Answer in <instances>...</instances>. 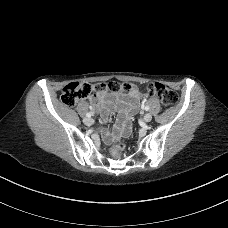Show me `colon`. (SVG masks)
<instances>
[{
  "label": "colon",
  "mask_w": 228,
  "mask_h": 228,
  "mask_svg": "<svg viewBox=\"0 0 228 228\" xmlns=\"http://www.w3.org/2000/svg\"><path fill=\"white\" fill-rule=\"evenodd\" d=\"M93 89L101 93L109 90L113 93L123 92L128 94L133 90V86L130 83L118 84L116 82L97 84L95 86H91L87 83L73 82L63 88L61 101L66 106H73L78 100L87 97ZM147 93L149 96L159 99L164 106L173 105L178 100V96L173 90L158 82L149 84ZM124 150L125 145L121 142H117L111 148V156L113 158H120Z\"/></svg>",
  "instance_id": "colon-1"
}]
</instances>
